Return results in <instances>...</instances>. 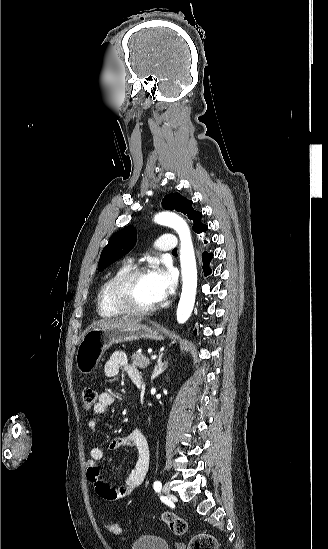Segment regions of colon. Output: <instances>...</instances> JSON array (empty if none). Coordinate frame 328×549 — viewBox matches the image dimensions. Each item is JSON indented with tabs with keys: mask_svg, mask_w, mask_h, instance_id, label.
I'll list each match as a JSON object with an SVG mask.
<instances>
[{
	"mask_svg": "<svg viewBox=\"0 0 328 549\" xmlns=\"http://www.w3.org/2000/svg\"><path fill=\"white\" fill-rule=\"evenodd\" d=\"M98 394L92 387H85L82 391V403L85 409H91L94 407ZM161 519L167 524L169 529L176 535H183L188 530L187 522L180 516L165 512L162 514ZM107 529L112 534L118 535L122 532L121 525L119 523H109ZM217 541L214 536L208 533H200L195 535L189 545L188 549H216Z\"/></svg>",
	"mask_w": 328,
	"mask_h": 549,
	"instance_id": "1",
	"label": "colon"
}]
</instances>
